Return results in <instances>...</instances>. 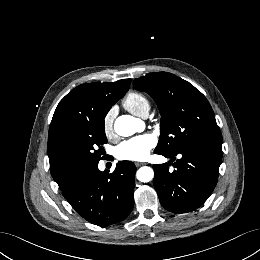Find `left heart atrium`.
I'll return each mask as SVG.
<instances>
[{"instance_id": "obj_1", "label": "left heart atrium", "mask_w": 260, "mask_h": 260, "mask_svg": "<svg viewBox=\"0 0 260 260\" xmlns=\"http://www.w3.org/2000/svg\"><path fill=\"white\" fill-rule=\"evenodd\" d=\"M155 144L156 139L153 135H140L118 145L115 155L120 160L141 161L148 157Z\"/></svg>"}]
</instances>
